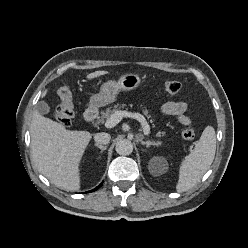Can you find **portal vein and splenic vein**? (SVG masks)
<instances>
[{
    "mask_svg": "<svg viewBox=\"0 0 248 248\" xmlns=\"http://www.w3.org/2000/svg\"><path fill=\"white\" fill-rule=\"evenodd\" d=\"M132 118L136 119L140 122L142 130L145 135H148L150 132V127L146 122V119L140 113H133L128 111L117 110L115 111L105 122L106 128H113L115 127L123 118Z\"/></svg>",
    "mask_w": 248,
    "mask_h": 248,
    "instance_id": "18ae733b",
    "label": "portal vein and splenic vein"
}]
</instances>
